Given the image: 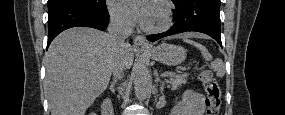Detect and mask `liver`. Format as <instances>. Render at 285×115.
<instances>
[{"label":"liver","instance_id":"obj_1","mask_svg":"<svg viewBox=\"0 0 285 115\" xmlns=\"http://www.w3.org/2000/svg\"><path fill=\"white\" fill-rule=\"evenodd\" d=\"M185 33L178 37H199ZM117 56L108 34L76 27L59 34L45 54V91L51 115H85L107 88ZM133 48L127 44L123 62L131 68Z\"/></svg>","mask_w":285,"mask_h":115}]
</instances>
